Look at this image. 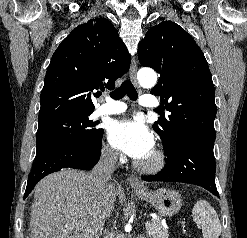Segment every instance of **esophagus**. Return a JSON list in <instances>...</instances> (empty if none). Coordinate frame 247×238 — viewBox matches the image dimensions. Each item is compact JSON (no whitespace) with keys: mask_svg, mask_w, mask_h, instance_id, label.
I'll return each instance as SVG.
<instances>
[{"mask_svg":"<svg viewBox=\"0 0 247 238\" xmlns=\"http://www.w3.org/2000/svg\"><path fill=\"white\" fill-rule=\"evenodd\" d=\"M137 62L135 57L132 58L131 60V65H130V77L132 80V83L138 87V81H137ZM128 183L138 189H142L143 188V184L140 182V180L133 176V175H129L127 178Z\"/></svg>","mask_w":247,"mask_h":238,"instance_id":"34e87169","label":"esophagus"}]
</instances>
